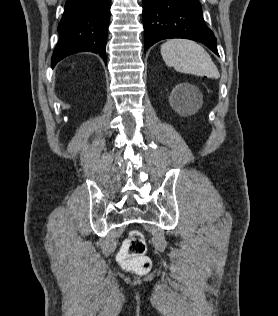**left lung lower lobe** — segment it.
Listing matches in <instances>:
<instances>
[{"mask_svg": "<svg viewBox=\"0 0 278 316\" xmlns=\"http://www.w3.org/2000/svg\"><path fill=\"white\" fill-rule=\"evenodd\" d=\"M142 17L145 51L163 39L185 38L199 41L219 55L198 0H143Z\"/></svg>", "mask_w": 278, "mask_h": 316, "instance_id": "1", "label": "left lung lower lobe"}]
</instances>
